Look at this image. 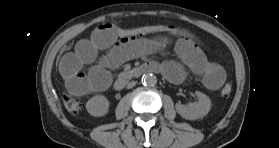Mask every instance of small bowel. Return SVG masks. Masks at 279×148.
I'll list each match as a JSON object with an SVG mask.
<instances>
[{
	"mask_svg": "<svg viewBox=\"0 0 279 148\" xmlns=\"http://www.w3.org/2000/svg\"><path fill=\"white\" fill-rule=\"evenodd\" d=\"M158 37H119L111 23L98 26L89 38L81 39L73 51L60 59L59 72L68 91L85 95L107 89L111 82L109 70L135 58L173 49L180 62L166 60L159 70L174 83H179L190 71L202 78L207 89L217 90L225 81L224 69L210 61L200 40L190 31L176 27L175 31H161ZM104 55H100L104 52ZM93 66L88 72L86 65Z\"/></svg>",
	"mask_w": 279,
	"mask_h": 148,
	"instance_id": "small-bowel-1",
	"label": "small bowel"
}]
</instances>
